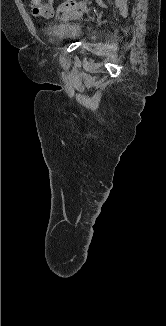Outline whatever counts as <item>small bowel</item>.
<instances>
[{
	"label": "small bowel",
	"mask_w": 166,
	"mask_h": 326,
	"mask_svg": "<svg viewBox=\"0 0 166 326\" xmlns=\"http://www.w3.org/2000/svg\"><path fill=\"white\" fill-rule=\"evenodd\" d=\"M29 7L36 17L50 18L55 13L52 0H29Z\"/></svg>",
	"instance_id": "1"
}]
</instances>
